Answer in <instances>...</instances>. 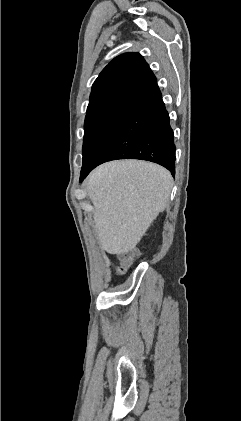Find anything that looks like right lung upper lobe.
Here are the masks:
<instances>
[{"label": "right lung upper lobe", "instance_id": "cb5924a9", "mask_svg": "<svg viewBox=\"0 0 241 421\" xmlns=\"http://www.w3.org/2000/svg\"><path fill=\"white\" fill-rule=\"evenodd\" d=\"M155 82L156 77L139 53L117 56L95 80L87 114L118 103H132Z\"/></svg>", "mask_w": 241, "mask_h": 421}]
</instances>
